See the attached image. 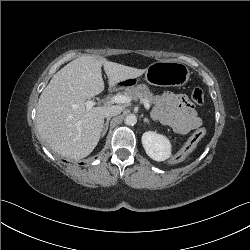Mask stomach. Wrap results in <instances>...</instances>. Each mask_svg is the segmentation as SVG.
Listing matches in <instances>:
<instances>
[{"label":"stomach","instance_id":"1","mask_svg":"<svg viewBox=\"0 0 250 250\" xmlns=\"http://www.w3.org/2000/svg\"><path fill=\"white\" fill-rule=\"evenodd\" d=\"M190 77L188 67L176 61H157L148 66L145 79L149 84L164 87H181L185 85ZM137 78L123 81L125 86H133Z\"/></svg>","mask_w":250,"mask_h":250}]
</instances>
